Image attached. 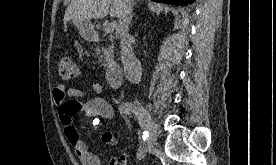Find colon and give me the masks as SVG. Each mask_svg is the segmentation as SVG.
<instances>
[{
  "label": "colon",
  "instance_id": "5ec220e1",
  "mask_svg": "<svg viewBox=\"0 0 276 165\" xmlns=\"http://www.w3.org/2000/svg\"><path fill=\"white\" fill-rule=\"evenodd\" d=\"M77 75V67L69 57H62L58 63V76L62 80H69ZM103 140L107 143H113L116 138L111 132H106L103 135Z\"/></svg>",
  "mask_w": 276,
  "mask_h": 165
}]
</instances>
